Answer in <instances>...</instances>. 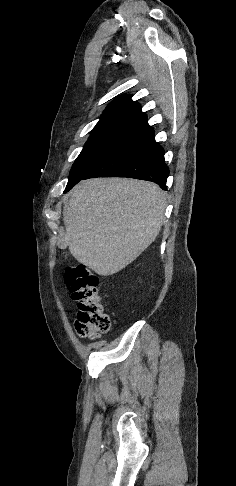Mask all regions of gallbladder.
<instances>
[{
    "label": "gallbladder",
    "instance_id": "1",
    "mask_svg": "<svg viewBox=\"0 0 236 486\" xmlns=\"http://www.w3.org/2000/svg\"><path fill=\"white\" fill-rule=\"evenodd\" d=\"M60 237H62V235H61V234H60ZM58 246H59L60 248H65V244H64L62 241H60V242H59Z\"/></svg>",
    "mask_w": 236,
    "mask_h": 486
}]
</instances>
